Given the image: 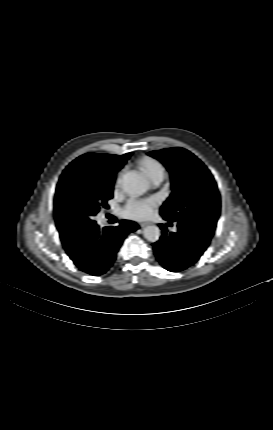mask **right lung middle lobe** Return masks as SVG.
I'll list each match as a JSON object with an SVG mask.
<instances>
[{"instance_id": "dd1d6c3e", "label": "right lung middle lobe", "mask_w": 273, "mask_h": 430, "mask_svg": "<svg viewBox=\"0 0 273 430\" xmlns=\"http://www.w3.org/2000/svg\"><path fill=\"white\" fill-rule=\"evenodd\" d=\"M115 178H91L67 167L60 177L55 194L54 215L61 238L78 237L93 225L101 207L113 197Z\"/></svg>"}]
</instances>
